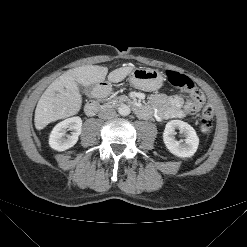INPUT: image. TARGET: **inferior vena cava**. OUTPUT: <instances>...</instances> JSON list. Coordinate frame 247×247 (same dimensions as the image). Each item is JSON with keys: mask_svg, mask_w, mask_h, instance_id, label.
I'll use <instances>...</instances> for the list:
<instances>
[{"mask_svg": "<svg viewBox=\"0 0 247 247\" xmlns=\"http://www.w3.org/2000/svg\"><path fill=\"white\" fill-rule=\"evenodd\" d=\"M115 115H116L115 109L108 107L102 108L98 114L99 118L101 119H110L113 118Z\"/></svg>", "mask_w": 247, "mask_h": 247, "instance_id": "602c4592", "label": "inferior vena cava"}]
</instances>
